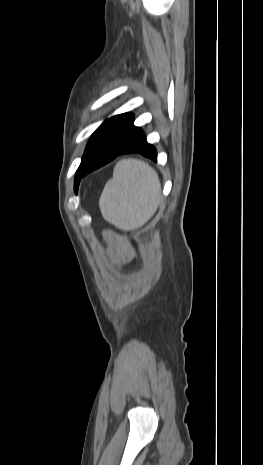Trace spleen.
I'll use <instances>...</instances> for the list:
<instances>
[{
    "instance_id": "3e777b00",
    "label": "spleen",
    "mask_w": 263,
    "mask_h": 465,
    "mask_svg": "<svg viewBox=\"0 0 263 465\" xmlns=\"http://www.w3.org/2000/svg\"><path fill=\"white\" fill-rule=\"evenodd\" d=\"M160 190L158 175L148 164L136 159L122 160L101 194V214L119 229L134 230L155 213Z\"/></svg>"
}]
</instances>
